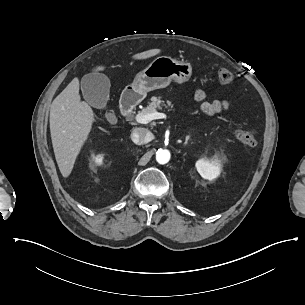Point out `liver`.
I'll list each match as a JSON object with an SVG mask.
<instances>
[{"label":"liver","mask_w":305,"mask_h":305,"mask_svg":"<svg viewBox=\"0 0 305 305\" xmlns=\"http://www.w3.org/2000/svg\"><path fill=\"white\" fill-rule=\"evenodd\" d=\"M162 49H150L130 57L145 61L160 55ZM106 64L90 68L89 73L105 72ZM80 79L75 77L51 105L50 128L55 158L62 176L72 174L77 158L88 142L97 117L91 106L81 99Z\"/></svg>","instance_id":"obj_1"}]
</instances>
